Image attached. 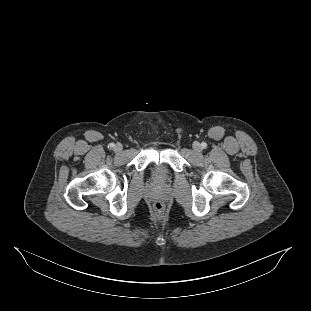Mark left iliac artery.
Here are the masks:
<instances>
[{
	"instance_id": "left-iliac-artery-1",
	"label": "left iliac artery",
	"mask_w": 311,
	"mask_h": 311,
	"mask_svg": "<svg viewBox=\"0 0 311 311\" xmlns=\"http://www.w3.org/2000/svg\"><path fill=\"white\" fill-rule=\"evenodd\" d=\"M201 147H202V148H206V147H207V143H206V142H202V143H201Z\"/></svg>"
}]
</instances>
